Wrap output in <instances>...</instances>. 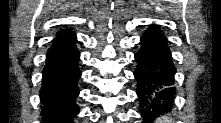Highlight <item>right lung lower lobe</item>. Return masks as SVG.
<instances>
[{
    "label": "right lung lower lobe",
    "mask_w": 221,
    "mask_h": 123,
    "mask_svg": "<svg viewBox=\"0 0 221 123\" xmlns=\"http://www.w3.org/2000/svg\"><path fill=\"white\" fill-rule=\"evenodd\" d=\"M75 34L56 37L46 56L40 98L45 123H73L79 113L80 53Z\"/></svg>",
    "instance_id": "98d812e1"
}]
</instances>
